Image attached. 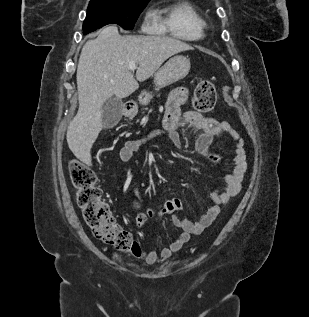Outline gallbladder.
I'll return each mask as SVG.
<instances>
[{
	"label": "gallbladder",
	"mask_w": 309,
	"mask_h": 317,
	"mask_svg": "<svg viewBox=\"0 0 309 317\" xmlns=\"http://www.w3.org/2000/svg\"><path fill=\"white\" fill-rule=\"evenodd\" d=\"M123 101L117 97L109 98L102 108V122L104 128H113L122 118Z\"/></svg>",
	"instance_id": "gallbladder-1"
}]
</instances>
